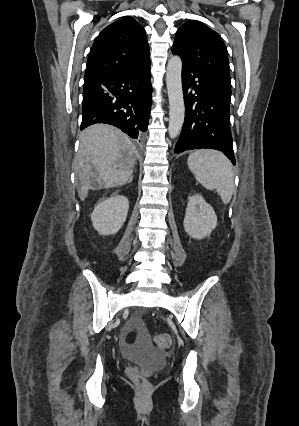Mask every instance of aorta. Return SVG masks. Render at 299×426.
<instances>
[{"label":"aorta","mask_w":299,"mask_h":426,"mask_svg":"<svg viewBox=\"0 0 299 426\" xmlns=\"http://www.w3.org/2000/svg\"><path fill=\"white\" fill-rule=\"evenodd\" d=\"M182 60L175 55L167 64L166 84L169 98V126L170 138H176L183 126L185 106L182 90Z\"/></svg>","instance_id":"1"}]
</instances>
